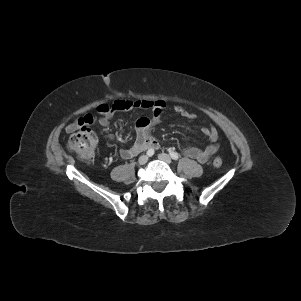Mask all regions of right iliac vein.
I'll use <instances>...</instances> for the list:
<instances>
[{
	"label": "right iliac vein",
	"instance_id": "63e3f726",
	"mask_svg": "<svg viewBox=\"0 0 301 301\" xmlns=\"http://www.w3.org/2000/svg\"><path fill=\"white\" fill-rule=\"evenodd\" d=\"M148 160V157L146 155H142L139 160H138V164L139 165H144Z\"/></svg>",
	"mask_w": 301,
	"mask_h": 301
}]
</instances>
